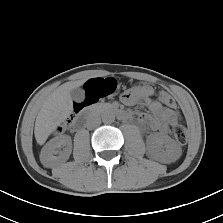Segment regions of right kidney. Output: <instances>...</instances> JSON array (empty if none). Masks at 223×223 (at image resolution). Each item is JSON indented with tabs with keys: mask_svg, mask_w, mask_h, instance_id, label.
Here are the masks:
<instances>
[{
	"mask_svg": "<svg viewBox=\"0 0 223 223\" xmlns=\"http://www.w3.org/2000/svg\"><path fill=\"white\" fill-rule=\"evenodd\" d=\"M61 148H63L61 150ZM72 150L70 136L61 135L49 141L41 151L40 159L44 166L52 167L56 162L68 160Z\"/></svg>",
	"mask_w": 223,
	"mask_h": 223,
	"instance_id": "right-kidney-1",
	"label": "right kidney"
}]
</instances>
